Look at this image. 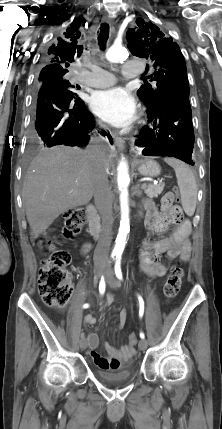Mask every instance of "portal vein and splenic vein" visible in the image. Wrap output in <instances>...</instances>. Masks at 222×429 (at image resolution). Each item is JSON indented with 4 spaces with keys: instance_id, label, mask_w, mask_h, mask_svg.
Returning a JSON list of instances; mask_svg holds the SVG:
<instances>
[{
    "instance_id": "18ae733b",
    "label": "portal vein and splenic vein",
    "mask_w": 222,
    "mask_h": 429,
    "mask_svg": "<svg viewBox=\"0 0 222 429\" xmlns=\"http://www.w3.org/2000/svg\"><path fill=\"white\" fill-rule=\"evenodd\" d=\"M146 186H147L146 183L142 184V188H146Z\"/></svg>"
}]
</instances>
